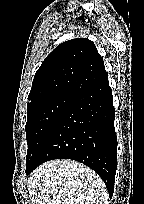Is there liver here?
<instances>
[{
  "label": "liver",
  "instance_id": "obj_1",
  "mask_svg": "<svg viewBox=\"0 0 144 204\" xmlns=\"http://www.w3.org/2000/svg\"><path fill=\"white\" fill-rule=\"evenodd\" d=\"M32 204H107L104 182L90 168L72 160H54L29 177Z\"/></svg>",
  "mask_w": 144,
  "mask_h": 204
}]
</instances>
